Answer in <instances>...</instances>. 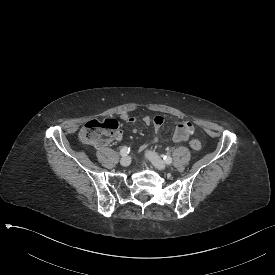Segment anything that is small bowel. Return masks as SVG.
<instances>
[{
	"mask_svg": "<svg viewBox=\"0 0 275 275\" xmlns=\"http://www.w3.org/2000/svg\"><path fill=\"white\" fill-rule=\"evenodd\" d=\"M121 120L124 122L130 123V124H135L137 122V117L134 115L127 114V113H123L121 115ZM147 120H148L147 122H149V119H147ZM162 123H163V118L160 116H157L153 119L155 131H158V129L160 128ZM193 132H194V125L192 124V122L182 121L176 126V129L173 134V140L176 143L184 142L189 138L190 135L193 134ZM118 134H119L118 135L119 139L124 138L122 130H119ZM146 147H147V145L140 146L139 151L145 150Z\"/></svg>",
	"mask_w": 275,
	"mask_h": 275,
	"instance_id": "small-bowel-1",
	"label": "small bowel"
}]
</instances>
